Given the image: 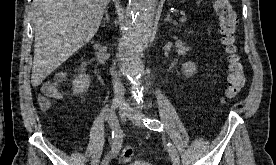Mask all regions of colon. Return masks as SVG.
I'll return each mask as SVG.
<instances>
[{"label": "colon", "instance_id": "5ec220e1", "mask_svg": "<svg viewBox=\"0 0 276 165\" xmlns=\"http://www.w3.org/2000/svg\"><path fill=\"white\" fill-rule=\"evenodd\" d=\"M213 7L218 19L221 42L227 54V87L224 93V101L235 99L246 83V76L243 64L240 60L237 48V25L236 12L229 0H213ZM60 76L55 81L47 83L43 87L40 98V105L44 109H49L52 103L61 97L59 83ZM134 157L132 148L125 147L120 151L119 160L127 163Z\"/></svg>", "mask_w": 276, "mask_h": 165}]
</instances>
